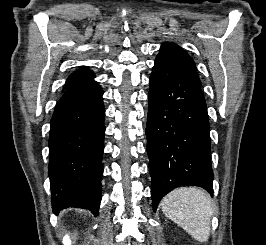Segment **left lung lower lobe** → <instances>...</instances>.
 I'll list each match as a JSON object with an SVG mask.
<instances>
[{
    "mask_svg": "<svg viewBox=\"0 0 266 245\" xmlns=\"http://www.w3.org/2000/svg\"><path fill=\"white\" fill-rule=\"evenodd\" d=\"M146 126L154 212L182 186L213 195L209 118L201 83L167 60L156 59L149 79Z\"/></svg>",
    "mask_w": 266,
    "mask_h": 245,
    "instance_id": "obj_1",
    "label": "left lung lower lobe"
}]
</instances>
